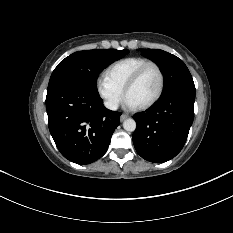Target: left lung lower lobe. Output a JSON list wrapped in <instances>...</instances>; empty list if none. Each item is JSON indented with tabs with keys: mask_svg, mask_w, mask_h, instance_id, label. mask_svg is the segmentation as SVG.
I'll list each match as a JSON object with an SVG mask.
<instances>
[{
	"mask_svg": "<svg viewBox=\"0 0 233 233\" xmlns=\"http://www.w3.org/2000/svg\"><path fill=\"white\" fill-rule=\"evenodd\" d=\"M195 92L179 90L162 96L150 110L136 113L133 143L145 160L163 163L183 148L194 119Z\"/></svg>",
	"mask_w": 233,
	"mask_h": 233,
	"instance_id": "1",
	"label": "left lung lower lobe"
}]
</instances>
